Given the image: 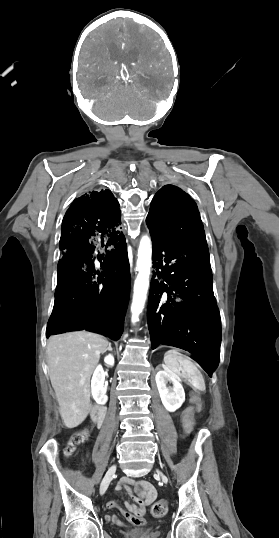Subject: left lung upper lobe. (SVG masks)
<instances>
[{"instance_id":"1","label":"left lung upper lobe","mask_w":279,"mask_h":538,"mask_svg":"<svg viewBox=\"0 0 279 538\" xmlns=\"http://www.w3.org/2000/svg\"><path fill=\"white\" fill-rule=\"evenodd\" d=\"M146 223L154 239L207 247L196 203L176 186L165 185L155 194Z\"/></svg>"}]
</instances>
